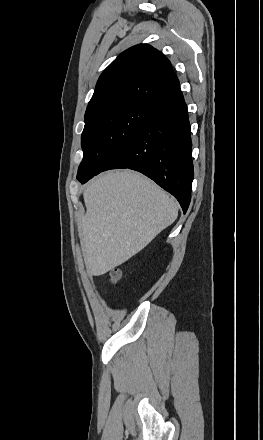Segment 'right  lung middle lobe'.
Returning a JSON list of instances; mask_svg holds the SVG:
<instances>
[{
	"label": "right lung middle lobe",
	"instance_id": "1",
	"mask_svg": "<svg viewBox=\"0 0 263 440\" xmlns=\"http://www.w3.org/2000/svg\"><path fill=\"white\" fill-rule=\"evenodd\" d=\"M154 105L136 103L104 110L85 120L81 137L83 160L77 179H91L145 124Z\"/></svg>",
	"mask_w": 263,
	"mask_h": 440
}]
</instances>
